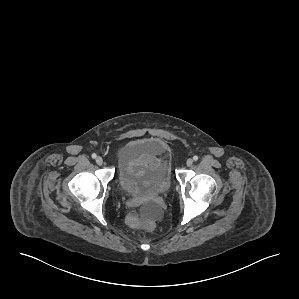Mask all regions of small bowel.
I'll return each mask as SVG.
<instances>
[{
  "label": "small bowel",
  "mask_w": 299,
  "mask_h": 299,
  "mask_svg": "<svg viewBox=\"0 0 299 299\" xmlns=\"http://www.w3.org/2000/svg\"><path fill=\"white\" fill-rule=\"evenodd\" d=\"M153 159L152 158H144L142 160V163L145 164V165H150L153 163ZM123 164V162H122ZM134 165H135V162H129L127 164V173L131 175V173H133V169H134ZM118 180H119V183L122 185V187H124L125 189H127L130 193L132 194H136L138 191H139V188H138V185L136 184V182H134L131 178L125 176L121 170L119 172V176H118Z\"/></svg>",
  "instance_id": "1"
}]
</instances>
